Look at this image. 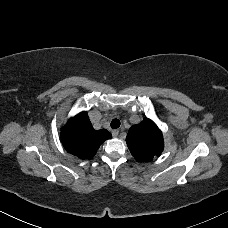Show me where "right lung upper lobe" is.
<instances>
[{
	"instance_id": "1",
	"label": "right lung upper lobe",
	"mask_w": 228,
	"mask_h": 228,
	"mask_svg": "<svg viewBox=\"0 0 228 228\" xmlns=\"http://www.w3.org/2000/svg\"><path fill=\"white\" fill-rule=\"evenodd\" d=\"M112 135L106 129L94 130L88 114L81 112L61 129V141L67 152L80 159L93 157L99 146Z\"/></svg>"
}]
</instances>
